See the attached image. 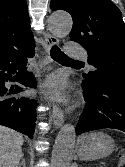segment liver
I'll use <instances>...</instances> for the list:
<instances>
[{"label":"liver","instance_id":"1","mask_svg":"<svg viewBox=\"0 0 125 167\" xmlns=\"http://www.w3.org/2000/svg\"><path fill=\"white\" fill-rule=\"evenodd\" d=\"M23 142L22 134L0 125V167H18Z\"/></svg>","mask_w":125,"mask_h":167}]
</instances>
